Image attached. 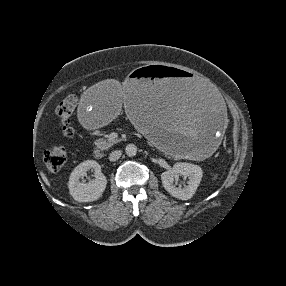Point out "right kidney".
<instances>
[{
  "instance_id": "1",
  "label": "right kidney",
  "mask_w": 286,
  "mask_h": 286,
  "mask_svg": "<svg viewBox=\"0 0 286 286\" xmlns=\"http://www.w3.org/2000/svg\"><path fill=\"white\" fill-rule=\"evenodd\" d=\"M89 170L94 171L95 179L88 183L81 182L80 179L86 176ZM106 185L107 179L101 172V166L94 160H86L75 167L68 182L70 194L78 202L97 200L103 194Z\"/></svg>"
}]
</instances>
